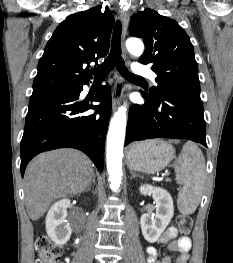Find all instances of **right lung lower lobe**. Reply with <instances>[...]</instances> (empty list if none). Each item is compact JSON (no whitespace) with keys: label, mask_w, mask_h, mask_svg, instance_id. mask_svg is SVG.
<instances>
[{"label":"right lung lower lobe","mask_w":233,"mask_h":263,"mask_svg":"<svg viewBox=\"0 0 233 263\" xmlns=\"http://www.w3.org/2000/svg\"><path fill=\"white\" fill-rule=\"evenodd\" d=\"M83 85L30 97L21 140V175L37 154L62 147L83 151L103 171L105 137L111 114L109 85L102 86L95 101L79 102ZM94 109L93 114H84Z\"/></svg>","instance_id":"right-lung-lower-lobe-1"}]
</instances>
